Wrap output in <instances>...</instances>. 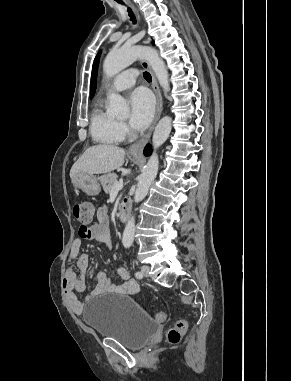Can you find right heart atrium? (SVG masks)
Here are the masks:
<instances>
[{"label":"right heart atrium","mask_w":291,"mask_h":381,"mask_svg":"<svg viewBox=\"0 0 291 381\" xmlns=\"http://www.w3.org/2000/svg\"><path fill=\"white\" fill-rule=\"evenodd\" d=\"M121 129H122L123 132L127 131V128H126V126L124 124H121Z\"/></svg>","instance_id":"obj_1"}]
</instances>
